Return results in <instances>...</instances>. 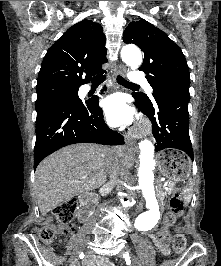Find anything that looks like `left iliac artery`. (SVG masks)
Returning a JSON list of instances; mask_svg holds the SVG:
<instances>
[{
  "instance_id": "left-iliac-artery-1",
  "label": "left iliac artery",
  "mask_w": 221,
  "mask_h": 266,
  "mask_svg": "<svg viewBox=\"0 0 221 266\" xmlns=\"http://www.w3.org/2000/svg\"><path fill=\"white\" fill-rule=\"evenodd\" d=\"M123 257L126 258V259H128L129 254L128 253L127 254H124Z\"/></svg>"
}]
</instances>
